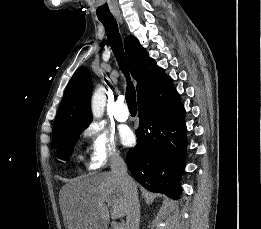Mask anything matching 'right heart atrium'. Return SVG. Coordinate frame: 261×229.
<instances>
[{"mask_svg": "<svg viewBox=\"0 0 261 229\" xmlns=\"http://www.w3.org/2000/svg\"><path fill=\"white\" fill-rule=\"evenodd\" d=\"M86 136L89 138L88 167L90 170L100 169L108 162L119 160V153L113 137L99 124L90 125L86 129Z\"/></svg>", "mask_w": 261, "mask_h": 229, "instance_id": "1", "label": "right heart atrium"}]
</instances>
